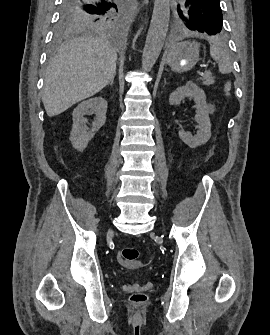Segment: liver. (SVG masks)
<instances>
[{
    "instance_id": "1",
    "label": "liver",
    "mask_w": 270,
    "mask_h": 335,
    "mask_svg": "<svg viewBox=\"0 0 270 335\" xmlns=\"http://www.w3.org/2000/svg\"><path fill=\"white\" fill-rule=\"evenodd\" d=\"M116 60L106 38L80 36L61 46L46 70L42 102L48 116L98 94L115 78Z\"/></svg>"
}]
</instances>
